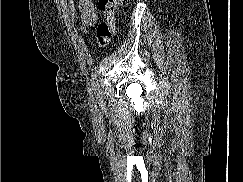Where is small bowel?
I'll return each mask as SVG.
<instances>
[{
  "mask_svg": "<svg viewBox=\"0 0 243 182\" xmlns=\"http://www.w3.org/2000/svg\"><path fill=\"white\" fill-rule=\"evenodd\" d=\"M82 31L94 26L97 21V12L91 0H78Z\"/></svg>",
  "mask_w": 243,
  "mask_h": 182,
  "instance_id": "c3829d8e",
  "label": "small bowel"
}]
</instances>
